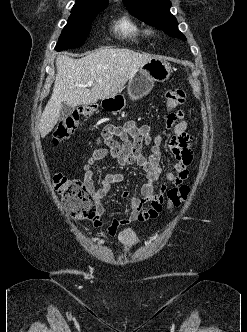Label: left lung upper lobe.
Wrapping results in <instances>:
<instances>
[{
	"mask_svg": "<svg viewBox=\"0 0 247 332\" xmlns=\"http://www.w3.org/2000/svg\"><path fill=\"white\" fill-rule=\"evenodd\" d=\"M129 12L146 24L163 30L171 37L186 40L178 30V22L170 13V0H123Z\"/></svg>",
	"mask_w": 247,
	"mask_h": 332,
	"instance_id": "1",
	"label": "left lung upper lobe"
}]
</instances>
